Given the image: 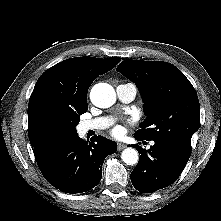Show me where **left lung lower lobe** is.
<instances>
[{"label": "left lung lower lobe", "instance_id": "obj_1", "mask_svg": "<svg viewBox=\"0 0 221 221\" xmlns=\"http://www.w3.org/2000/svg\"><path fill=\"white\" fill-rule=\"evenodd\" d=\"M136 140L142 138L134 136ZM149 150L134 145L141 154L131 173L133 186L142 193H152L171 185L182 173L191 152L165 140H153Z\"/></svg>", "mask_w": 221, "mask_h": 221}]
</instances>
